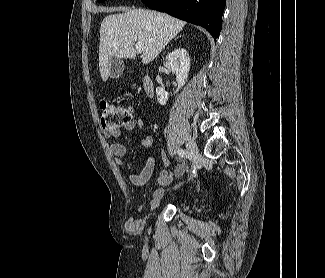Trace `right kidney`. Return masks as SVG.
<instances>
[{
  "label": "right kidney",
  "instance_id": "right-kidney-1",
  "mask_svg": "<svg viewBox=\"0 0 325 278\" xmlns=\"http://www.w3.org/2000/svg\"><path fill=\"white\" fill-rule=\"evenodd\" d=\"M165 67L176 74L178 88L177 93L186 83L190 70V59L184 48H177L166 56ZM157 100L160 105H165L168 101V93L160 87L156 88Z\"/></svg>",
  "mask_w": 325,
  "mask_h": 278
}]
</instances>
